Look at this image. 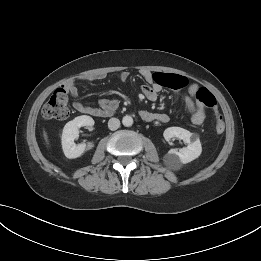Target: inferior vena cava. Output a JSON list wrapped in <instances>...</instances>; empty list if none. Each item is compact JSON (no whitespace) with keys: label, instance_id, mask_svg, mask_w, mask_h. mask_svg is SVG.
Wrapping results in <instances>:
<instances>
[{"label":"inferior vena cava","instance_id":"1","mask_svg":"<svg viewBox=\"0 0 261 261\" xmlns=\"http://www.w3.org/2000/svg\"><path fill=\"white\" fill-rule=\"evenodd\" d=\"M120 127V121L117 118H111L108 121V128L112 131L117 130Z\"/></svg>","mask_w":261,"mask_h":261}]
</instances>
